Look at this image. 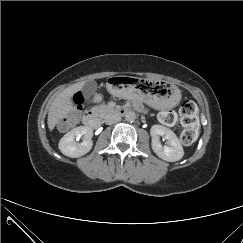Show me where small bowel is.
<instances>
[{
    "label": "small bowel",
    "mask_w": 243,
    "mask_h": 243,
    "mask_svg": "<svg viewBox=\"0 0 243 243\" xmlns=\"http://www.w3.org/2000/svg\"><path fill=\"white\" fill-rule=\"evenodd\" d=\"M100 99H101V98H100L99 96H96V97L94 98V101L97 102V101H100Z\"/></svg>",
    "instance_id": "obj_1"
}]
</instances>
